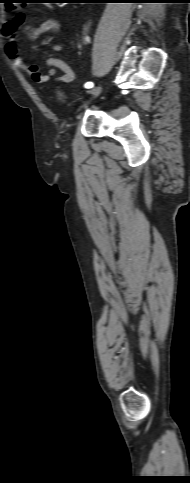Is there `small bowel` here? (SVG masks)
I'll return each mask as SVG.
<instances>
[{
    "instance_id": "small-bowel-1",
    "label": "small bowel",
    "mask_w": 190,
    "mask_h": 483,
    "mask_svg": "<svg viewBox=\"0 0 190 483\" xmlns=\"http://www.w3.org/2000/svg\"><path fill=\"white\" fill-rule=\"evenodd\" d=\"M60 29L61 24L56 19H49L38 26H31L27 22L26 15L23 12H20L15 18L6 21L3 24L2 34L5 38V53L17 68L24 71L37 83L49 80L56 70L62 72V75L58 77L57 80L61 83H69L75 77V72L70 64L59 58L50 57L45 62L49 67V70L47 73H42L37 65H27L17 49V38L15 34L18 31L22 32L27 38L35 40L46 32H58ZM51 49L53 51H60L62 47L59 44H54L51 46Z\"/></svg>"
}]
</instances>
